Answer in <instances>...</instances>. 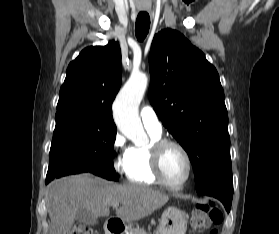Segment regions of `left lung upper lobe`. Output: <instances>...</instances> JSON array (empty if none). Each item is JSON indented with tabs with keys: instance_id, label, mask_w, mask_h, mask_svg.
<instances>
[{
	"instance_id": "obj_1",
	"label": "left lung upper lobe",
	"mask_w": 279,
	"mask_h": 234,
	"mask_svg": "<svg viewBox=\"0 0 279 234\" xmlns=\"http://www.w3.org/2000/svg\"><path fill=\"white\" fill-rule=\"evenodd\" d=\"M149 68V99L186 150L197 193L232 186L228 116L215 67L181 33L164 29L154 36Z\"/></svg>"
}]
</instances>
